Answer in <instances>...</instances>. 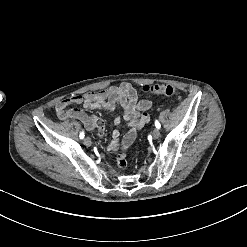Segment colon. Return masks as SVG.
I'll return each mask as SVG.
<instances>
[{
    "label": "colon",
    "instance_id": "1",
    "mask_svg": "<svg viewBox=\"0 0 247 247\" xmlns=\"http://www.w3.org/2000/svg\"><path fill=\"white\" fill-rule=\"evenodd\" d=\"M142 92L149 95H165L179 98L181 92L170 84H146L142 86Z\"/></svg>",
    "mask_w": 247,
    "mask_h": 247
}]
</instances>
